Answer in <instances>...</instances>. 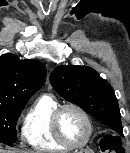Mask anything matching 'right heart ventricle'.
<instances>
[{
  "label": "right heart ventricle",
  "instance_id": "1",
  "mask_svg": "<svg viewBox=\"0 0 130 153\" xmlns=\"http://www.w3.org/2000/svg\"><path fill=\"white\" fill-rule=\"evenodd\" d=\"M60 105L51 94L39 96L28 110L22 127L23 141L32 149L41 152H64L70 150L55 137L51 117Z\"/></svg>",
  "mask_w": 130,
  "mask_h": 153
}]
</instances>
